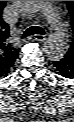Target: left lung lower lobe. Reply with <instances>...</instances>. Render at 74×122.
<instances>
[{"label": "left lung lower lobe", "instance_id": "left-lung-lower-lobe-1", "mask_svg": "<svg viewBox=\"0 0 74 122\" xmlns=\"http://www.w3.org/2000/svg\"><path fill=\"white\" fill-rule=\"evenodd\" d=\"M57 71L66 78H74V55L67 52L65 56L53 62Z\"/></svg>", "mask_w": 74, "mask_h": 122}]
</instances>
